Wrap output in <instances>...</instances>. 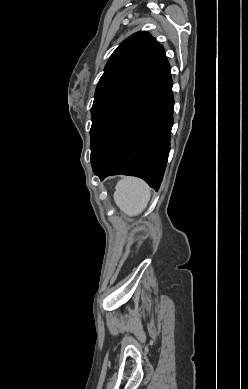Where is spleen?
Instances as JSON below:
<instances>
[{
  "label": "spleen",
  "mask_w": 248,
  "mask_h": 389,
  "mask_svg": "<svg viewBox=\"0 0 248 389\" xmlns=\"http://www.w3.org/2000/svg\"><path fill=\"white\" fill-rule=\"evenodd\" d=\"M115 189V204L128 216L143 212L151 197L150 187L136 177H124L117 182Z\"/></svg>",
  "instance_id": "3e777b00"
}]
</instances>
